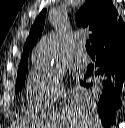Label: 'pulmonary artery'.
I'll return each instance as SVG.
<instances>
[{
    "instance_id": "1",
    "label": "pulmonary artery",
    "mask_w": 125,
    "mask_h": 128,
    "mask_svg": "<svg viewBox=\"0 0 125 128\" xmlns=\"http://www.w3.org/2000/svg\"><path fill=\"white\" fill-rule=\"evenodd\" d=\"M75 61L77 63H88L90 61V57L88 56V54L85 52L84 50V45L80 44L77 47V50L75 51Z\"/></svg>"
}]
</instances>
